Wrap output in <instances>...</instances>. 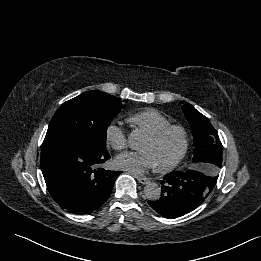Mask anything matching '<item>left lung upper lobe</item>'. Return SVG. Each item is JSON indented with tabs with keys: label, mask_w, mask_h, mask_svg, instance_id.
<instances>
[{
	"label": "left lung upper lobe",
	"mask_w": 261,
	"mask_h": 261,
	"mask_svg": "<svg viewBox=\"0 0 261 261\" xmlns=\"http://www.w3.org/2000/svg\"><path fill=\"white\" fill-rule=\"evenodd\" d=\"M182 110L190 123L194 137V163L205 164L218 170L222 165V144L207 117L186 103Z\"/></svg>",
	"instance_id": "left-lung-upper-lobe-1"
}]
</instances>
